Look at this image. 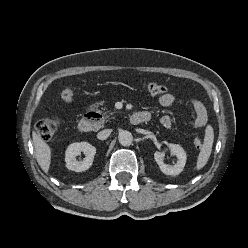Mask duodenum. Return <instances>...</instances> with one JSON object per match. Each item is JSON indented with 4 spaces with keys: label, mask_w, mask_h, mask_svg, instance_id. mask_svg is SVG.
I'll return each mask as SVG.
<instances>
[{
    "label": "duodenum",
    "mask_w": 248,
    "mask_h": 248,
    "mask_svg": "<svg viewBox=\"0 0 248 248\" xmlns=\"http://www.w3.org/2000/svg\"><path fill=\"white\" fill-rule=\"evenodd\" d=\"M150 120V115L147 113L136 112L129 116V122L133 125H138ZM101 125V116L98 113H87L79 122L78 127L81 132L88 133L96 130Z\"/></svg>",
    "instance_id": "duodenum-1"
}]
</instances>
